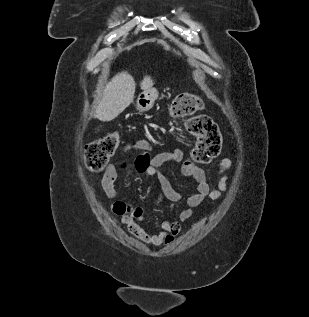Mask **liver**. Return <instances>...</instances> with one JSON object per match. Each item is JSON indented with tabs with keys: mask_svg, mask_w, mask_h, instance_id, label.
Segmentation results:
<instances>
[{
	"mask_svg": "<svg viewBox=\"0 0 309 317\" xmlns=\"http://www.w3.org/2000/svg\"><path fill=\"white\" fill-rule=\"evenodd\" d=\"M153 85L150 76H145L140 83L143 90L151 89ZM134 94V78L127 71L116 74L105 86L94 117L101 121L115 119L131 104Z\"/></svg>",
	"mask_w": 309,
	"mask_h": 317,
	"instance_id": "liver-1",
	"label": "liver"
}]
</instances>
